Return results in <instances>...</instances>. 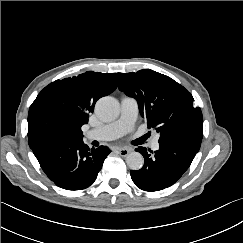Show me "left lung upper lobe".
I'll return each instance as SVG.
<instances>
[{"mask_svg": "<svg viewBox=\"0 0 243 243\" xmlns=\"http://www.w3.org/2000/svg\"><path fill=\"white\" fill-rule=\"evenodd\" d=\"M119 90L138 102L148 128L160 133L159 142L184 133L203 134V118L186 88L152 70L123 73Z\"/></svg>", "mask_w": 243, "mask_h": 243, "instance_id": "5c2ea615", "label": "left lung upper lobe"}]
</instances>
